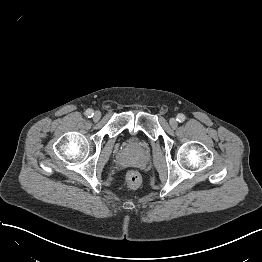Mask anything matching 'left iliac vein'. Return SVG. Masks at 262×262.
Listing matches in <instances>:
<instances>
[{"instance_id":"4c4485c4","label":"left iliac vein","mask_w":262,"mask_h":262,"mask_svg":"<svg viewBox=\"0 0 262 262\" xmlns=\"http://www.w3.org/2000/svg\"><path fill=\"white\" fill-rule=\"evenodd\" d=\"M169 123L172 128H176L178 126V121L175 118H171Z\"/></svg>"}]
</instances>
